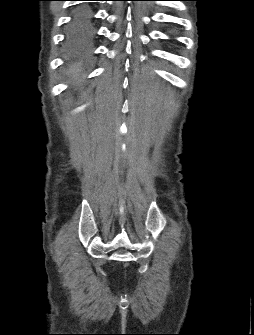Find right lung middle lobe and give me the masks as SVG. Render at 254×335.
I'll return each instance as SVG.
<instances>
[{"mask_svg":"<svg viewBox=\"0 0 254 335\" xmlns=\"http://www.w3.org/2000/svg\"><path fill=\"white\" fill-rule=\"evenodd\" d=\"M80 6H88L89 7L88 4H82ZM92 31H93L92 26L85 25V22L83 20H81L80 22L75 23V24L70 23L69 28H68V35L71 38H78V37H82V36H87V35L91 34Z\"/></svg>","mask_w":254,"mask_h":335,"instance_id":"obj_1","label":"right lung middle lobe"}]
</instances>
